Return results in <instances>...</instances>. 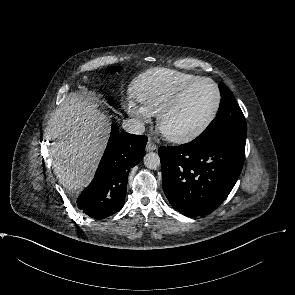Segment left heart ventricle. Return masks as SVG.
<instances>
[{"instance_id": "1", "label": "left heart ventricle", "mask_w": 295, "mask_h": 295, "mask_svg": "<svg viewBox=\"0 0 295 295\" xmlns=\"http://www.w3.org/2000/svg\"><path fill=\"white\" fill-rule=\"evenodd\" d=\"M216 100L217 93L212 84L198 83L165 118L163 132L169 136H184L197 130L212 114Z\"/></svg>"}]
</instances>
